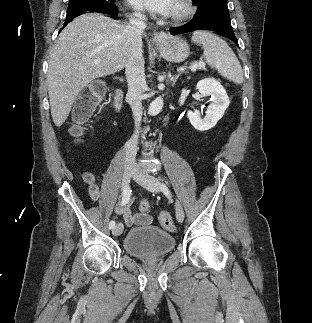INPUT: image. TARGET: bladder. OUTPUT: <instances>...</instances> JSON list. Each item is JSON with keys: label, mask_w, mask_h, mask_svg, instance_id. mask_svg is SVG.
Returning <instances> with one entry per match:
<instances>
[{"label": "bladder", "mask_w": 312, "mask_h": 323, "mask_svg": "<svg viewBox=\"0 0 312 323\" xmlns=\"http://www.w3.org/2000/svg\"><path fill=\"white\" fill-rule=\"evenodd\" d=\"M175 239L159 227L130 229L124 238V250L132 257L155 259L172 251Z\"/></svg>", "instance_id": "1"}]
</instances>
